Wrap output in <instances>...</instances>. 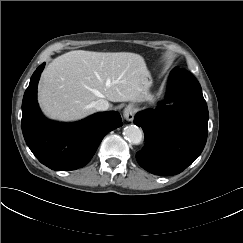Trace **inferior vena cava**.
Listing matches in <instances>:
<instances>
[{"label":"inferior vena cava","instance_id":"obj_1","mask_svg":"<svg viewBox=\"0 0 243 243\" xmlns=\"http://www.w3.org/2000/svg\"><path fill=\"white\" fill-rule=\"evenodd\" d=\"M94 108L97 111H106L109 108V103L105 99H99L94 102Z\"/></svg>","mask_w":243,"mask_h":243}]
</instances>
